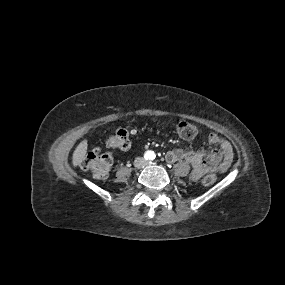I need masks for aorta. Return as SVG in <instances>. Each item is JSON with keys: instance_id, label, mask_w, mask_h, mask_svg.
<instances>
[{"instance_id": "762f6f07", "label": "aorta", "mask_w": 285, "mask_h": 285, "mask_svg": "<svg viewBox=\"0 0 285 285\" xmlns=\"http://www.w3.org/2000/svg\"><path fill=\"white\" fill-rule=\"evenodd\" d=\"M146 157L149 160H153L156 157V154L153 151H147L146 152Z\"/></svg>"}]
</instances>
